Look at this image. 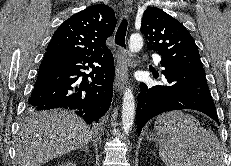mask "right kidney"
<instances>
[{"mask_svg": "<svg viewBox=\"0 0 231 166\" xmlns=\"http://www.w3.org/2000/svg\"><path fill=\"white\" fill-rule=\"evenodd\" d=\"M59 166H76V164L73 162L67 161V162L62 163Z\"/></svg>", "mask_w": 231, "mask_h": 166, "instance_id": "ca27d5eb", "label": "right kidney"}]
</instances>
